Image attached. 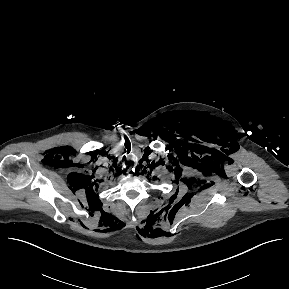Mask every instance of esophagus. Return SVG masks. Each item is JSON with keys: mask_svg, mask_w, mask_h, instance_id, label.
<instances>
[{"mask_svg": "<svg viewBox=\"0 0 289 289\" xmlns=\"http://www.w3.org/2000/svg\"><path fill=\"white\" fill-rule=\"evenodd\" d=\"M132 172H134V169H133V168H132V169H129V170L127 171V173H129V175H131Z\"/></svg>", "mask_w": 289, "mask_h": 289, "instance_id": "1", "label": "esophagus"}]
</instances>
